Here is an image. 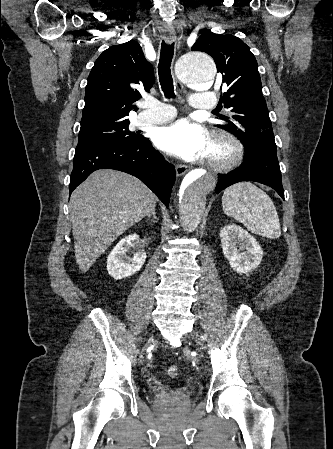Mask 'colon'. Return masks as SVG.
Wrapping results in <instances>:
<instances>
[{"label":"colon","mask_w":333,"mask_h":449,"mask_svg":"<svg viewBox=\"0 0 333 449\" xmlns=\"http://www.w3.org/2000/svg\"><path fill=\"white\" fill-rule=\"evenodd\" d=\"M166 374L169 378H175L178 375V369L176 366H169L166 369Z\"/></svg>","instance_id":"obj_1"}]
</instances>
